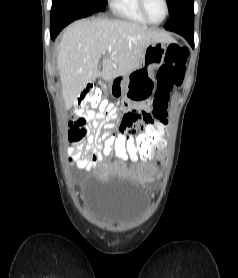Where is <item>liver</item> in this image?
I'll list each match as a JSON object with an SVG mask.
<instances>
[{"label":"liver","mask_w":238,"mask_h":278,"mask_svg":"<svg viewBox=\"0 0 238 278\" xmlns=\"http://www.w3.org/2000/svg\"><path fill=\"white\" fill-rule=\"evenodd\" d=\"M171 41L165 32L126 20L93 18L73 22L63 33L57 58L66 109L73 106L88 83L100 76L112 81L129 75L140 67L149 45Z\"/></svg>","instance_id":"liver-1"}]
</instances>
